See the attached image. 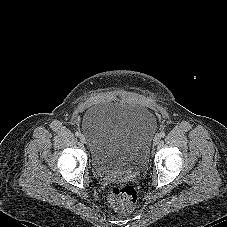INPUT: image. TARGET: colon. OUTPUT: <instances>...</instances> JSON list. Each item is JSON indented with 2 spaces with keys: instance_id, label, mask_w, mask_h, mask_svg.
<instances>
[{
  "instance_id": "obj_1",
  "label": "colon",
  "mask_w": 227,
  "mask_h": 227,
  "mask_svg": "<svg viewBox=\"0 0 227 227\" xmlns=\"http://www.w3.org/2000/svg\"><path fill=\"white\" fill-rule=\"evenodd\" d=\"M138 200L136 188L130 184L118 183L112 186L108 196L110 206L122 214L130 213Z\"/></svg>"
}]
</instances>
